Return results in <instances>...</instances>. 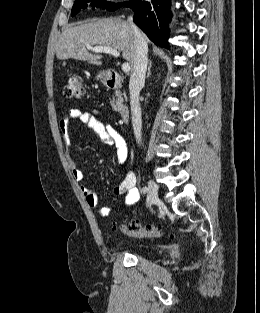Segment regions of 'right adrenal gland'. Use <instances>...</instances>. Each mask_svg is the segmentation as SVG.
I'll return each instance as SVG.
<instances>
[{
	"mask_svg": "<svg viewBox=\"0 0 260 313\" xmlns=\"http://www.w3.org/2000/svg\"><path fill=\"white\" fill-rule=\"evenodd\" d=\"M151 66H152V62H151V60H150V61H149V66H148L147 77H150V75H151Z\"/></svg>",
	"mask_w": 260,
	"mask_h": 313,
	"instance_id": "2a0ac1e0",
	"label": "right adrenal gland"
}]
</instances>
